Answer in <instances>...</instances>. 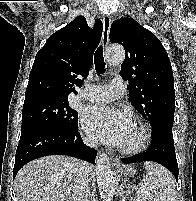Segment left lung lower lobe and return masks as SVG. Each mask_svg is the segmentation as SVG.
Wrapping results in <instances>:
<instances>
[{
  "instance_id": "0a47b994",
  "label": "left lung lower lobe",
  "mask_w": 196,
  "mask_h": 201,
  "mask_svg": "<svg viewBox=\"0 0 196 201\" xmlns=\"http://www.w3.org/2000/svg\"><path fill=\"white\" fill-rule=\"evenodd\" d=\"M142 161H154L163 165L178 180V165L174 149L172 127L152 130V143L146 152L122 159V162L125 164Z\"/></svg>"
}]
</instances>
